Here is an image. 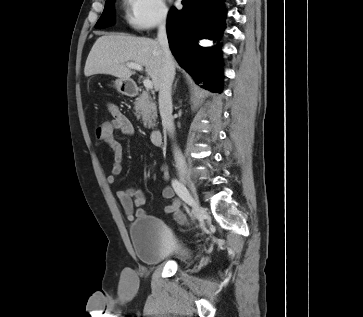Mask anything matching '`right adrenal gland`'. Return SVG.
<instances>
[{"label":"right adrenal gland","mask_w":363,"mask_h":317,"mask_svg":"<svg viewBox=\"0 0 363 317\" xmlns=\"http://www.w3.org/2000/svg\"><path fill=\"white\" fill-rule=\"evenodd\" d=\"M177 81H178V80H176V81H175V84H174V89H175V87H176V85H177Z\"/></svg>","instance_id":"1"}]
</instances>
